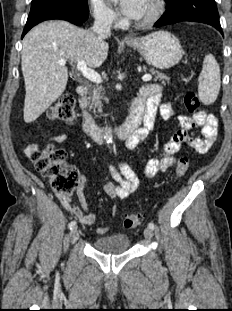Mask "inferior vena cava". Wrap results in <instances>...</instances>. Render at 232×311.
<instances>
[{
  "instance_id": "1",
  "label": "inferior vena cava",
  "mask_w": 232,
  "mask_h": 311,
  "mask_svg": "<svg viewBox=\"0 0 232 311\" xmlns=\"http://www.w3.org/2000/svg\"><path fill=\"white\" fill-rule=\"evenodd\" d=\"M113 17L107 14H100L96 18L92 30L100 38L108 37L111 34Z\"/></svg>"
}]
</instances>
